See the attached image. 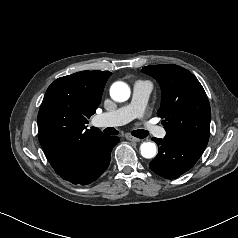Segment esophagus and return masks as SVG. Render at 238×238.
<instances>
[{
	"instance_id": "obj_1",
	"label": "esophagus",
	"mask_w": 238,
	"mask_h": 238,
	"mask_svg": "<svg viewBox=\"0 0 238 238\" xmlns=\"http://www.w3.org/2000/svg\"><path fill=\"white\" fill-rule=\"evenodd\" d=\"M125 137L127 140L132 141V142H140L141 141V139L134 137L132 135H129V134H127Z\"/></svg>"
}]
</instances>
